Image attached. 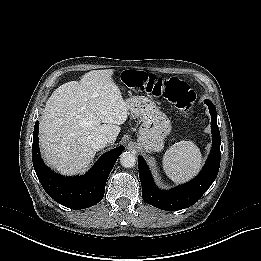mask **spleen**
Wrapping results in <instances>:
<instances>
[{"label": "spleen", "instance_id": "3e777b00", "mask_svg": "<svg viewBox=\"0 0 261 261\" xmlns=\"http://www.w3.org/2000/svg\"><path fill=\"white\" fill-rule=\"evenodd\" d=\"M201 163V151L192 141L175 143L165 152L162 160L164 172L176 183L188 181L197 175Z\"/></svg>", "mask_w": 261, "mask_h": 261}]
</instances>
